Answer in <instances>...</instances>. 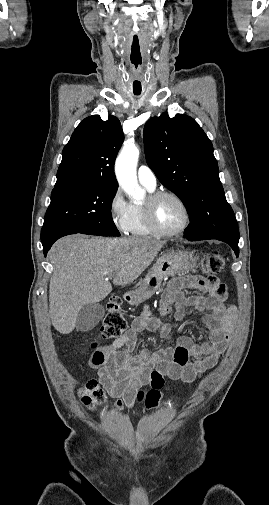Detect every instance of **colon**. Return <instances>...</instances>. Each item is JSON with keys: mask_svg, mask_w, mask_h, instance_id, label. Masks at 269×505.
Here are the masks:
<instances>
[{"mask_svg": "<svg viewBox=\"0 0 269 505\" xmlns=\"http://www.w3.org/2000/svg\"><path fill=\"white\" fill-rule=\"evenodd\" d=\"M225 266V257L220 251H211L200 266L202 273L209 272V278L218 281L221 278V271ZM127 330V322L122 313L120 300L114 297L107 305V313L102 322L100 336L105 339L118 338ZM148 384L150 390L146 393L139 392L138 399L145 402L147 408L156 407L161 397V391L166 388L164 374L154 370L151 372ZM81 400L87 406H95L104 401V394L100 389L97 380L92 379L87 382L81 390Z\"/></svg>", "mask_w": 269, "mask_h": 505, "instance_id": "5ec220e1", "label": "colon"}]
</instances>
